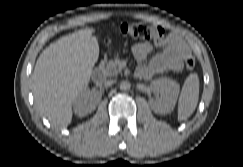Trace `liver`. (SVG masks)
<instances>
[{"label": "liver", "instance_id": "1", "mask_svg": "<svg viewBox=\"0 0 243 167\" xmlns=\"http://www.w3.org/2000/svg\"><path fill=\"white\" fill-rule=\"evenodd\" d=\"M98 57L92 29L62 37L40 54L33 72L35 104L54 125L71 123L72 104L89 83Z\"/></svg>", "mask_w": 243, "mask_h": 167}]
</instances>
